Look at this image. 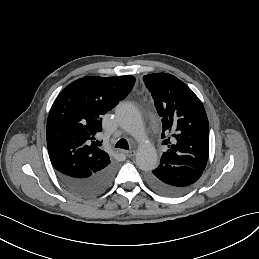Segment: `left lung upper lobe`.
Wrapping results in <instances>:
<instances>
[{
    "mask_svg": "<svg viewBox=\"0 0 259 259\" xmlns=\"http://www.w3.org/2000/svg\"><path fill=\"white\" fill-rule=\"evenodd\" d=\"M143 81L161 117L162 143L168 146L160 164L188 166L203 172L209 156V123L202 102L171 74H148Z\"/></svg>",
    "mask_w": 259,
    "mask_h": 259,
    "instance_id": "obj_1",
    "label": "left lung upper lobe"
}]
</instances>
